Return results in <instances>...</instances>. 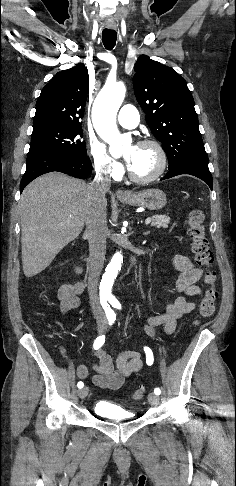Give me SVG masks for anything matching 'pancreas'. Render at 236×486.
Returning a JSON list of instances; mask_svg holds the SVG:
<instances>
[{"instance_id":"obj_1","label":"pancreas","mask_w":236,"mask_h":486,"mask_svg":"<svg viewBox=\"0 0 236 486\" xmlns=\"http://www.w3.org/2000/svg\"><path fill=\"white\" fill-rule=\"evenodd\" d=\"M170 223V218L166 215H154L152 216L151 226L157 228H167Z\"/></svg>"}]
</instances>
